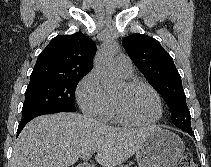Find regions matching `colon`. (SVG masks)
Instances as JSON below:
<instances>
[{
  "label": "colon",
  "mask_w": 211,
  "mask_h": 167,
  "mask_svg": "<svg viewBox=\"0 0 211 167\" xmlns=\"http://www.w3.org/2000/svg\"><path fill=\"white\" fill-rule=\"evenodd\" d=\"M176 167H197L193 159V156L190 153L184 154Z\"/></svg>",
  "instance_id": "1"
}]
</instances>
